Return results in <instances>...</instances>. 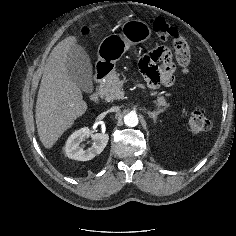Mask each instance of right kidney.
I'll list each match as a JSON object with an SVG mask.
<instances>
[{
	"label": "right kidney",
	"mask_w": 236,
	"mask_h": 236,
	"mask_svg": "<svg viewBox=\"0 0 236 236\" xmlns=\"http://www.w3.org/2000/svg\"><path fill=\"white\" fill-rule=\"evenodd\" d=\"M91 136L92 146L85 149L80 145L86 138ZM109 135L106 133L91 134L89 128L84 127L75 131L67 140L65 154L68 158L78 161H88L100 154L106 147Z\"/></svg>",
	"instance_id": "right-kidney-1"
}]
</instances>
